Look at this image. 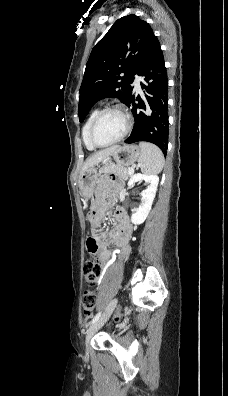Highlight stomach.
I'll return each instance as SVG.
<instances>
[{
  "label": "stomach",
  "instance_id": "obj_1",
  "mask_svg": "<svg viewBox=\"0 0 228 396\" xmlns=\"http://www.w3.org/2000/svg\"><path fill=\"white\" fill-rule=\"evenodd\" d=\"M112 159L121 166L133 165L140 159L141 150L135 144L119 146L111 155ZM107 157L102 161V166H92L83 171L79 177V189L84 200L88 201L94 195L95 186L102 169L111 162V157Z\"/></svg>",
  "mask_w": 228,
  "mask_h": 396
}]
</instances>
